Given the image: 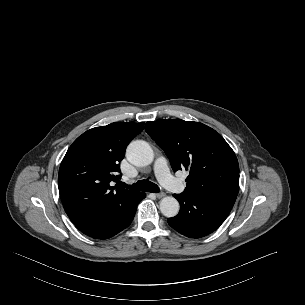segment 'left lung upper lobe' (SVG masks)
Here are the masks:
<instances>
[{
	"instance_id": "5c2ea615",
	"label": "left lung upper lobe",
	"mask_w": 305,
	"mask_h": 305,
	"mask_svg": "<svg viewBox=\"0 0 305 305\" xmlns=\"http://www.w3.org/2000/svg\"><path fill=\"white\" fill-rule=\"evenodd\" d=\"M145 130L164 150L174 171H189L183 194L237 197L238 161L215 130L202 123L180 119L149 121Z\"/></svg>"
}]
</instances>
